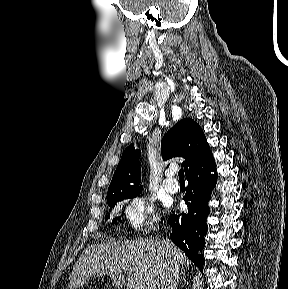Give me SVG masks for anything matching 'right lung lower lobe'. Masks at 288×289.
Returning <instances> with one entry per match:
<instances>
[{"instance_id":"1","label":"right lung lower lobe","mask_w":288,"mask_h":289,"mask_svg":"<svg viewBox=\"0 0 288 289\" xmlns=\"http://www.w3.org/2000/svg\"><path fill=\"white\" fill-rule=\"evenodd\" d=\"M186 178L188 188L183 199L188 213L170 216L169 224L173 229L170 237L191 261L202 266L205 261L202 255H198V250L204 246L203 236L207 232L206 217L209 214L206 203L216 182V164L212 154L189 171Z\"/></svg>"}]
</instances>
